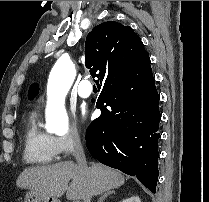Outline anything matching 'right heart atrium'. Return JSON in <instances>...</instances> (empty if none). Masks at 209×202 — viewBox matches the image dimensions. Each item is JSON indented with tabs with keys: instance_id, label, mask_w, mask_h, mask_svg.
Returning a JSON list of instances; mask_svg holds the SVG:
<instances>
[{
	"instance_id": "1",
	"label": "right heart atrium",
	"mask_w": 209,
	"mask_h": 202,
	"mask_svg": "<svg viewBox=\"0 0 209 202\" xmlns=\"http://www.w3.org/2000/svg\"><path fill=\"white\" fill-rule=\"evenodd\" d=\"M54 145L62 156H69L81 147V135L76 128H71L70 131L62 136L53 137ZM70 172L73 176L81 174V170L71 163H67Z\"/></svg>"
}]
</instances>
